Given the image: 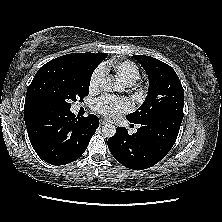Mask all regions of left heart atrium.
Listing matches in <instances>:
<instances>
[{
	"label": "left heart atrium",
	"instance_id": "left-heart-atrium-1",
	"mask_svg": "<svg viewBox=\"0 0 222 222\" xmlns=\"http://www.w3.org/2000/svg\"><path fill=\"white\" fill-rule=\"evenodd\" d=\"M94 110L108 119H114L128 110V103L117 97L103 96L97 99L93 106Z\"/></svg>",
	"mask_w": 222,
	"mask_h": 222
}]
</instances>
